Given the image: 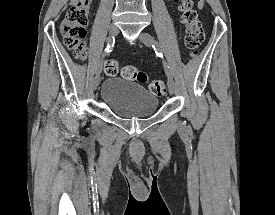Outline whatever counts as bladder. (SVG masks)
Segmentation results:
<instances>
[{"mask_svg": "<svg viewBox=\"0 0 275 215\" xmlns=\"http://www.w3.org/2000/svg\"><path fill=\"white\" fill-rule=\"evenodd\" d=\"M100 99L115 115L124 119L149 117L156 112L158 97L138 82L120 77L107 78L101 87Z\"/></svg>", "mask_w": 275, "mask_h": 215, "instance_id": "1", "label": "bladder"}]
</instances>
